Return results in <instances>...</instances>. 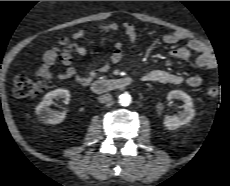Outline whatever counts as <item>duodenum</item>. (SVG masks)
Segmentation results:
<instances>
[{"mask_svg":"<svg viewBox=\"0 0 230 186\" xmlns=\"http://www.w3.org/2000/svg\"><path fill=\"white\" fill-rule=\"evenodd\" d=\"M133 83L131 77H120L112 79L95 80L91 84V89L95 93H106L113 90H119L130 86Z\"/></svg>","mask_w":230,"mask_h":186,"instance_id":"duodenum-1","label":"duodenum"}]
</instances>
